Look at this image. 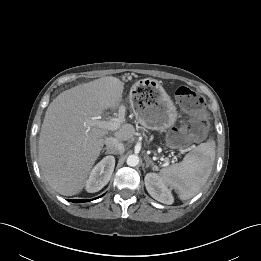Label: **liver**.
Segmentation results:
<instances>
[{
    "mask_svg": "<svg viewBox=\"0 0 261 261\" xmlns=\"http://www.w3.org/2000/svg\"><path fill=\"white\" fill-rule=\"evenodd\" d=\"M124 83L107 76L60 93L48 106L41 127L38 156L46 182L59 194L72 196L84 188L100 155L107 130L91 120L122 101ZM135 129L123 124L116 139L132 141Z\"/></svg>",
    "mask_w": 261,
    "mask_h": 261,
    "instance_id": "1",
    "label": "liver"
}]
</instances>
